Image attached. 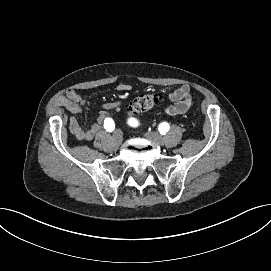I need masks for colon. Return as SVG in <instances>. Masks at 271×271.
Listing matches in <instances>:
<instances>
[{"label":"colon","instance_id":"obj_1","mask_svg":"<svg viewBox=\"0 0 271 271\" xmlns=\"http://www.w3.org/2000/svg\"><path fill=\"white\" fill-rule=\"evenodd\" d=\"M159 101L160 96L158 94L148 93L139 95L129 103L127 112L130 115L143 113L155 107Z\"/></svg>","mask_w":271,"mask_h":271}]
</instances>
